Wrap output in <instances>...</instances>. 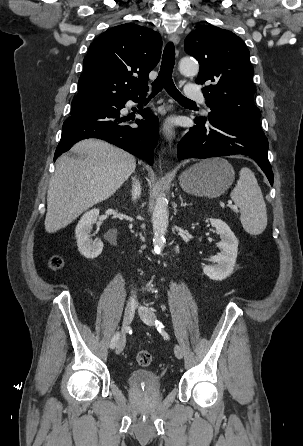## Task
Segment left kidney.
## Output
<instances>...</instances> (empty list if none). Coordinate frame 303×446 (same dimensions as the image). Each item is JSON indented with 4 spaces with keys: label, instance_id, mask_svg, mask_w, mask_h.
<instances>
[{
    "label": "left kidney",
    "instance_id": "5707ae66",
    "mask_svg": "<svg viewBox=\"0 0 303 446\" xmlns=\"http://www.w3.org/2000/svg\"><path fill=\"white\" fill-rule=\"evenodd\" d=\"M208 220L216 229V233L220 235L221 241L217 243L220 253L209 259L214 264L205 265L203 272L210 279L221 281L233 273L238 253V240L224 221L212 218Z\"/></svg>",
    "mask_w": 303,
    "mask_h": 446
}]
</instances>
